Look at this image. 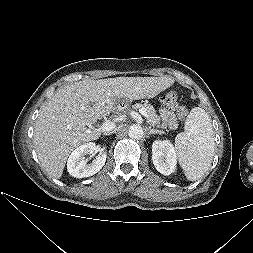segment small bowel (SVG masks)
<instances>
[{
	"mask_svg": "<svg viewBox=\"0 0 253 253\" xmlns=\"http://www.w3.org/2000/svg\"><path fill=\"white\" fill-rule=\"evenodd\" d=\"M160 115L163 121V124L170 129H175L177 127L176 115L172 110L163 108L160 111Z\"/></svg>",
	"mask_w": 253,
	"mask_h": 253,
	"instance_id": "obj_1",
	"label": "small bowel"
}]
</instances>
